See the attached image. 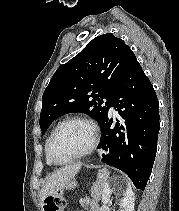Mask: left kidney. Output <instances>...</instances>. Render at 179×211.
<instances>
[{
    "label": "left kidney",
    "mask_w": 179,
    "mask_h": 211,
    "mask_svg": "<svg viewBox=\"0 0 179 211\" xmlns=\"http://www.w3.org/2000/svg\"><path fill=\"white\" fill-rule=\"evenodd\" d=\"M117 187L115 182L106 183L103 188L102 193V202L104 204H108L111 202V194L113 193V189ZM122 199L120 201V210L119 211H134V202L135 196L134 192L130 187L122 189Z\"/></svg>",
    "instance_id": "left-kidney-1"
}]
</instances>
